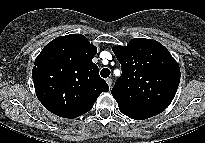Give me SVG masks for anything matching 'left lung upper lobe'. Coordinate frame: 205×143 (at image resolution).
<instances>
[{"label":"left lung upper lobe","mask_w":205,"mask_h":143,"mask_svg":"<svg viewBox=\"0 0 205 143\" xmlns=\"http://www.w3.org/2000/svg\"><path fill=\"white\" fill-rule=\"evenodd\" d=\"M113 52L122 69L111 91L119 108H167L180 82L179 65L169 51L155 40L135 38Z\"/></svg>","instance_id":"1"}]
</instances>
